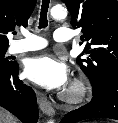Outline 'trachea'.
Masks as SVG:
<instances>
[{
	"mask_svg": "<svg viewBox=\"0 0 118 123\" xmlns=\"http://www.w3.org/2000/svg\"><path fill=\"white\" fill-rule=\"evenodd\" d=\"M50 0H42L40 19H39V28H46L48 25L47 12L49 7Z\"/></svg>",
	"mask_w": 118,
	"mask_h": 123,
	"instance_id": "3493384b",
	"label": "trachea"
}]
</instances>
